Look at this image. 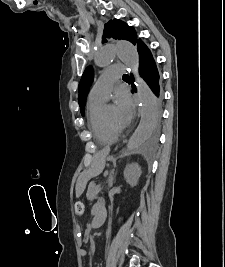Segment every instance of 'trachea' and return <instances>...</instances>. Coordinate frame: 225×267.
Segmentation results:
<instances>
[{"label":"trachea","instance_id":"trachea-1","mask_svg":"<svg viewBox=\"0 0 225 267\" xmlns=\"http://www.w3.org/2000/svg\"><path fill=\"white\" fill-rule=\"evenodd\" d=\"M123 77H129V75L125 74V75H123Z\"/></svg>","mask_w":225,"mask_h":267}]
</instances>
